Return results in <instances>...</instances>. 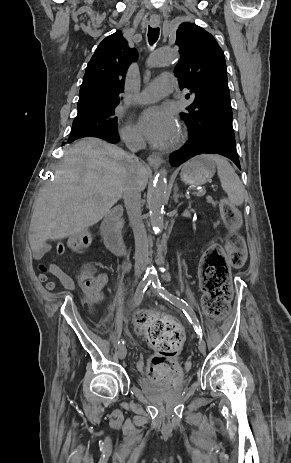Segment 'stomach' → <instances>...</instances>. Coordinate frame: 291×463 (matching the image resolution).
<instances>
[{
	"instance_id": "obj_1",
	"label": "stomach",
	"mask_w": 291,
	"mask_h": 463,
	"mask_svg": "<svg viewBox=\"0 0 291 463\" xmlns=\"http://www.w3.org/2000/svg\"><path fill=\"white\" fill-rule=\"evenodd\" d=\"M215 165L212 161L198 156L184 164L180 177L188 185H203L208 182L215 173Z\"/></svg>"
}]
</instances>
